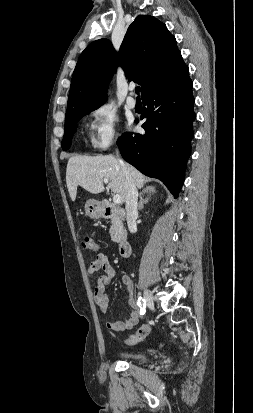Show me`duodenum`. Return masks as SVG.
<instances>
[{
  "instance_id": "410a0bca",
  "label": "duodenum",
  "mask_w": 253,
  "mask_h": 413,
  "mask_svg": "<svg viewBox=\"0 0 253 413\" xmlns=\"http://www.w3.org/2000/svg\"><path fill=\"white\" fill-rule=\"evenodd\" d=\"M101 211L104 217L106 218H113V217H120L123 218L125 216V211L121 208H118L108 202H104L101 205ZM119 247V254L122 257H129L131 254V245L126 238H121L118 241Z\"/></svg>"
}]
</instances>
